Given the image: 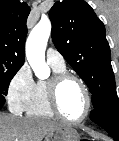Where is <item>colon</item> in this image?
Wrapping results in <instances>:
<instances>
[{
    "label": "colon",
    "mask_w": 119,
    "mask_h": 141,
    "mask_svg": "<svg viewBox=\"0 0 119 141\" xmlns=\"http://www.w3.org/2000/svg\"><path fill=\"white\" fill-rule=\"evenodd\" d=\"M80 141H90V140L87 139V138H83V139H81Z\"/></svg>",
    "instance_id": "1"
}]
</instances>
